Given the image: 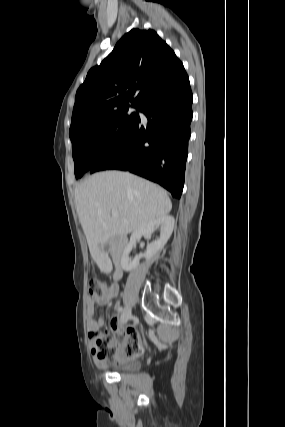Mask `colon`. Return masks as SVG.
I'll return each instance as SVG.
<instances>
[{
    "mask_svg": "<svg viewBox=\"0 0 285 427\" xmlns=\"http://www.w3.org/2000/svg\"><path fill=\"white\" fill-rule=\"evenodd\" d=\"M108 286L105 282L98 278L91 277L88 281L89 294L93 299H98L102 294L108 291ZM90 338L94 342L95 348L101 359L113 361L115 352L113 349L114 340L106 331L95 330L91 332ZM141 352L139 338L133 335L128 340V346L124 349V358L130 359L137 356Z\"/></svg>",
    "mask_w": 285,
    "mask_h": 427,
    "instance_id": "5ec220e1",
    "label": "colon"
}]
</instances>
